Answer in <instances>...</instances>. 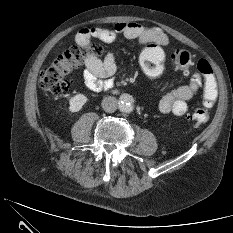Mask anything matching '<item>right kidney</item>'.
<instances>
[{"label":"right kidney","instance_id":"obj_1","mask_svg":"<svg viewBox=\"0 0 233 233\" xmlns=\"http://www.w3.org/2000/svg\"><path fill=\"white\" fill-rule=\"evenodd\" d=\"M87 102V97L84 94H78L70 98L69 110L71 112H78L82 109L83 105Z\"/></svg>","mask_w":233,"mask_h":233}]
</instances>
